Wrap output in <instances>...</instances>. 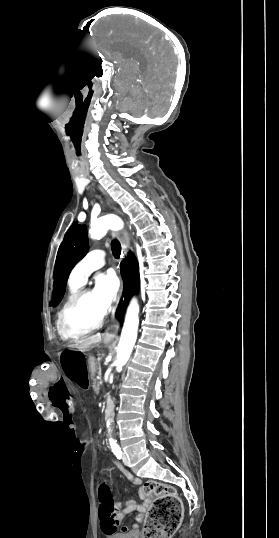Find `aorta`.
Listing matches in <instances>:
<instances>
[{"label":"aorta","instance_id":"obj_1","mask_svg":"<svg viewBox=\"0 0 279 538\" xmlns=\"http://www.w3.org/2000/svg\"><path fill=\"white\" fill-rule=\"evenodd\" d=\"M123 227L122 220L116 215H106L95 221L89 230L92 239H101L109 229L119 230ZM139 325V305L136 298H132L126 312L121 338L117 348L115 365L118 371L127 363L137 339ZM112 449L118 447L116 440L109 439Z\"/></svg>","mask_w":279,"mask_h":538}]
</instances>
